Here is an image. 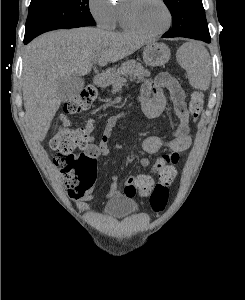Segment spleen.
Instances as JSON below:
<instances>
[{"label":"spleen","instance_id":"spleen-1","mask_svg":"<svg viewBox=\"0 0 245 300\" xmlns=\"http://www.w3.org/2000/svg\"><path fill=\"white\" fill-rule=\"evenodd\" d=\"M182 66L187 72L192 87L207 90L211 81L210 59L207 50L197 43L183 48Z\"/></svg>","mask_w":245,"mask_h":300}]
</instances>
